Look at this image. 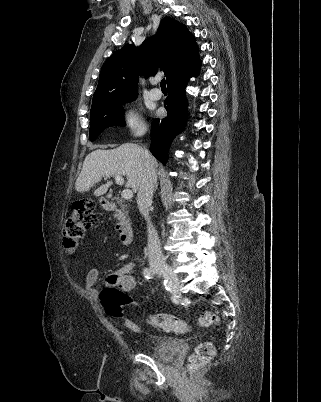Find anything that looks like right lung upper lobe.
<instances>
[{"mask_svg": "<svg viewBox=\"0 0 321 402\" xmlns=\"http://www.w3.org/2000/svg\"><path fill=\"white\" fill-rule=\"evenodd\" d=\"M201 65L198 46L186 26L165 17L154 37L136 48L126 44L113 53L100 72L92 107L135 95L138 76H153L161 67L167 83Z\"/></svg>", "mask_w": 321, "mask_h": 402, "instance_id": "cb5924a9", "label": "right lung upper lobe"}]
</instances>
